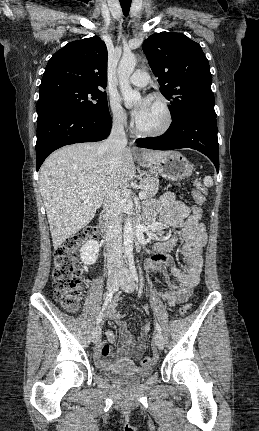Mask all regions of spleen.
I'll use <instances>...</instances> for the list:
<instances>
[{
    "label": "spleen",
    "instance_id": "obj_1",
    "mask_svg": "<svg viewBox=\"0 0 259 431\" xmlns=\"http://www.w3.org/2000/svg\"><path fill=\"white\" fill-rule=\"evenodd\" d=\"M203 182L207 187H211L213 185V179L210 176H205Z\"/></svg>",
    "mask_w": 259,
    "mask_h": 431
}]
</instances>
